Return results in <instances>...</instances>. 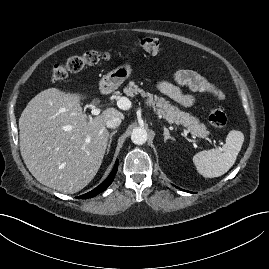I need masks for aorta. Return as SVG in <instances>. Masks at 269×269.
<instances>
[{
	"instance_id": "aorta-1",
	"label": "aorta",
	"mask_w": 269,
	"mask_h": 269,
	"mask_svg": "<svg viewBox=\"0 0 269 269\" xmlns=\"http://www.w3.org/2000/svg\"><path fill=\"white\" fill-rule=\"evenodd\" d=\"M147 131L142 127L134 128L131 133V140L134 144L142 145L147 141Z\"/></svg>"
}]
</instances>
